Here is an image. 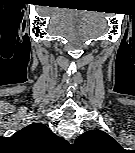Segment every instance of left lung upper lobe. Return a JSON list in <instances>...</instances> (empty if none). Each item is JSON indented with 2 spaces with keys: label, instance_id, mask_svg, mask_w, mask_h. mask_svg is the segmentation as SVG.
Listing matches in <instances>:
<instances>
[{
  "label": "left lung upper lobe",
  "instance_id": "1",
  "mask_svg": "<svg viewBox=\"0 0 135 153\" xmlns=\"http://www.w3.org/2000/svg\"><path fill=\"white\" fill-rule=\"evenodd\" d=\"M75 145L89 150L90 153H118L122 147L107 133L90 130L83 133L75 141Z\"/></svg>",
  "mask_w": 135,
  "mask_h": 153
}]
</instances>
